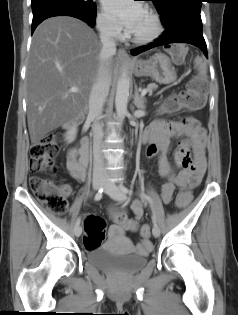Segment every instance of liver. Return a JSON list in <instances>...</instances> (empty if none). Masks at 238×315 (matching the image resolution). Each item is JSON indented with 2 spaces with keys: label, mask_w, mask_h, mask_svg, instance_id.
Wrapping results in <instances>:
<instances>
[{
  "label": "liver",
  "mask_w": 238,
  "mask_h": 315,
  "mask_svg": "<svg viewBox=\"0 0 238 315\" xmlns=\"http://www.w3.org/2000/svg\"><path fill=\"white\" fill-rule=\"evenodd\" d=\"M102 45L83 21L57 16L35 30L28 56L27 122L31 143L37 145L49 132L76 124L88 110ZM111 80L117 69L109 64ZM76 87L78 92H70Z\"/></svg>",
  "instance_id": "1"
}]
</instances>
